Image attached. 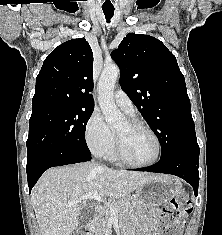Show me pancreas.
Returning a JSON list of instances; mask_svg holds the SVG:
<instances>
[{"mask_svg":"<svg viewBox=\"0 0 222 235\" xmlns=\"http://www.w3.org/2000/svg\"><path fill=\"white\" fill-rule=\"evenodd\" d=\"M111 207H117L120 216L132 217L135 214V204L130 199L113 200ZM111 218L109 207H107L93 222L92 228L96 235H104Z\"/></svg>","mask_w":222,"mask_h":235,"instance_id":"obj_1","label":"pancreas"}]
</instances>
